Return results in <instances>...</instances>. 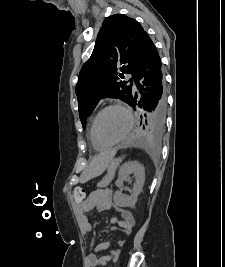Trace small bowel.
Wrapping results in <instances>:
<instances>
[{"instance_id": "small-bowel-1", "label": "small bowel", "mask_w": 225, "mask_h": 267, "mask_svg": "<svg viewBox=\"0 0 225 267\" xmlns=\"http://www.w3.org/2000/svg\"><path fill=\"white\" fill-rule=\"evenodd\" d=\"M111 197L112 192L110 189L96 190L92 192L83 203L75 205L77 217L79 219V222L81 223L82 230L85 234L90 233L92 230V227L87 220L86 213L93 209H96L98 211L110 209L112 206ZM116 210L120 215V219L116 217L111 219V223L114 229L120 230L126 235L130 234L135 225V220L132 213L127 209L119 207H117ZM118 245L123 246L124 240H119ZM109 247L110 242L105 241L96 246L95 251L106 250ZM119 254V248L111 249L109 254L106 256H97L96 254L92 253L88 255L86 259L87 267H104L107 265L108 261L117 260Z\"/></svg>"}]
</instances>
